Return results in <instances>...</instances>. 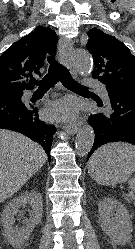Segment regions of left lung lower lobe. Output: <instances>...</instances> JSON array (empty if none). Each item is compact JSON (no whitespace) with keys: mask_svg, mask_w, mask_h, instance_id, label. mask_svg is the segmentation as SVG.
<instances>
[{"mask_svg":"<svg viewBox=\"0 0 135 249\" xmlns=\"http://www.w3.org/2000/svg\"><path fill=\"white\" fill-rule=\"evenodd\" d=\"M93 99L100 110L89 117L95 140L88 159L98 147L109 142L135 144V97L108 93L106 106L99 98Z\"/></svg>","mask_w":135,"mask_h":249,"instance_id":"obj_1","label":"left lung lower lobe"}]
</instances>
